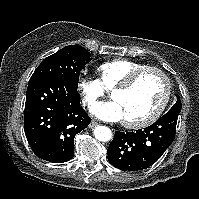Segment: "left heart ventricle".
Segmentation results:
<instances>
[{
	"instance_id": "obj_1",
	"label": "left heart ventricle",
	"mask_w": 199,
	"mask_h": 199,
	"mask_svg": "<svg viewBox=\"0 0 199 199\" xmlns=\"http://www.w3.org/2000/svg\"><path fill=\"white\" fill-rule=\"evenodd\" d=\"M165 94V81L157 73H147L126 92H116V100L124 113V120L137 121L150 115Z\"/></svg>"
}]
</instances>
